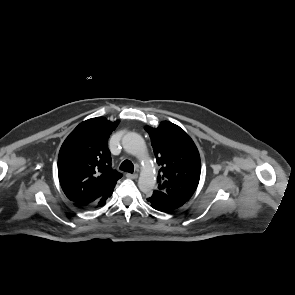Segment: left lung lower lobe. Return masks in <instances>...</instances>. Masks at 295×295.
<instances>
[{
  "label": "left lung lower lobe",
  "instance_id": "left-lung-lower-lobe-1",
  "mask_svg": "<svg viewBox=\"0 0 295 295\" xmlns=\"http://www.w3.org/2000/svg\"><path fill=\"white\" fill-rule=\"evenodd\" d=\"M152 208L161 212L173 211L186 203V201L175 198L155 190L153 194L147 198Z\"/></svg>",
  "mask_w": 295,
  "mask_h": 295
}]
</instances>
